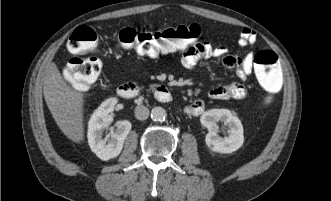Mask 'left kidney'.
Returning <instances> with one entry per match:
<instances>
[{
    "instance_id": "1",
    "label": "left kidney",
    "mask_w": 331,
    "mask_h": 201,
    "mask_svg": "<svg viewBox=\"0 0 331 201\" xmlns=\"http://www.w3.org/2000/svg\"><path fill=\"white\" fill-rule=\"evenodd\" d=\"M201 124L208 128L205 137L208 148L218 153H232L239 149L244 142L243 126L237 116L228 109H210L200 118ZM221 121L228 127V136L221 137L217 134Z\"/></svg>"
}]
</instances>
